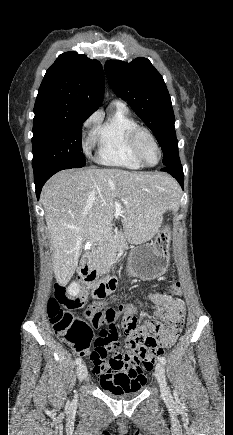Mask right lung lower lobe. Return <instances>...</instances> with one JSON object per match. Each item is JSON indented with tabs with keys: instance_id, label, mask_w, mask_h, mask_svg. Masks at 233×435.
Segmentation results:
<instances>
[{
	"instance_id": "1",
	"label": "right lung lower lobe",
	"mask_w": 233,
	"mask_h": 435,
	"mask_svg": "<svg viewBox=\"0 0 233 435\" xmlns=\"http://www.w3.org/2000/svg\"><path fill=\"white\" fill-rule=\"evenodd\" d=\"M64 169H70L69 166L64 164H52V165H45L40 168L34 169V182L36 187V195L39 199L41 190L45 182L55 173H57L60 170Z\"/></svg>"
}]
</instances>
